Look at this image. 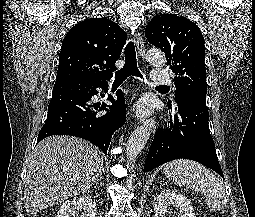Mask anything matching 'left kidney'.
<instances>
[{
	"label": "left kidney",
	"mask_w": 255,
	"mask_h": 217,
	"mask_svg": "<svg viewBox=\"0 0 255 217\" xmlns=\"http://www.w3.org/2000/svg\"><path fill=\"white\" fill-rule=\"evenodd\" d=\"M174 207L180 210V217H195L190 201L182 194H177L169 189L162 190L158 195L154 207V217H167V214H170Z\"/></svg>",
	"instance_id": "left-kidney-1"
}]
</instances>
